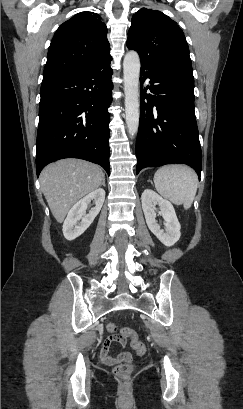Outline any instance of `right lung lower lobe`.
Returning <instances> with one entry per match:
<instances>
[{"instance_id":"right-lung-lower-lobe-1","label":"right lung lower lobe","mask_w":243,"mask_h":409,"mask_svg":"<svg viewBox=\"0 0 243 409\" xmlns=\"http://www.w3.org/2000/svg\"><path fill=\"white\" fill-rule=\"evenodd\" d=\"M112 58L71 75L42 81L36 170L62 158H80L110 173L108 108Z\"/></svg>"}]
</instances>
